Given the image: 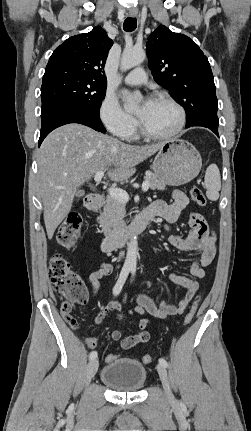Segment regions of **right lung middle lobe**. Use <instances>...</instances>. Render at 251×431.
<instances>
[{"label":"right lung middle lobe","instance_id":"1","mask_svg":"<svg viewBox=\"0 0 251 431\" xmlns=\"http://www.w3.org/2000/svg\"><path fill=\"white\" fill-rule=\"evenodd\" d=\"M105 94V82L65 68L48 69L41 87L42 111L55 105H70L99 114Z\"/></svg>","mask_w":251,"mask_h":431}]
</instances>
